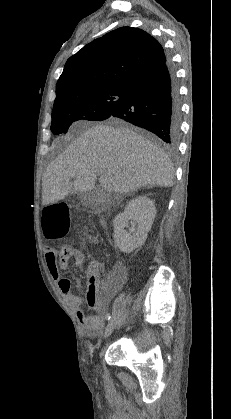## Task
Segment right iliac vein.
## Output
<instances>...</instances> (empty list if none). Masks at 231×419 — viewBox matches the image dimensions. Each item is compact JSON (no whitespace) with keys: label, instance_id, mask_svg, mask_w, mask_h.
<instances>
[{"label":"right iliac vein","instance_id":"right-iliac-vein-1","mask_svg":"<svg viewBox=\"0 0 231 419\" xmlns=\"http://www.w3.org/2000/svg\"><path fill=\"white\" fill-rule=\"evenodd\" d=\"M114 328H115V320L112 319L109 321V323L106 326L104 338H107L113 332Z\"/></svg>","mask_w":231,"mask_h":419}]
</instances>
